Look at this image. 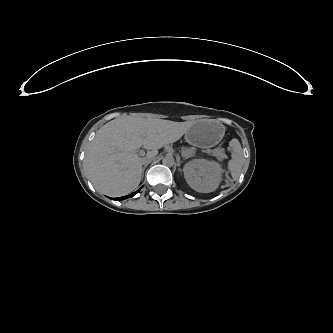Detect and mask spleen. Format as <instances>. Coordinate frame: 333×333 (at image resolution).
Here are the masks:
<instances>
[{
	"instance_id": "3e777b00",
	"label": "spleen",
	"mask_w": 333,
	"mask_h": 333,
	"mask_svg": "<svg viewBox=\"0 0 333 333\" xmlns=\"http://www.w3.org/2000/svg\"><path fill=\"white\" fill-rule=\"evenodd\" d=\"M231 168H235L236 167V162L235 161H233L232 163H231Z\"/></svg>"
}]
</instances>
